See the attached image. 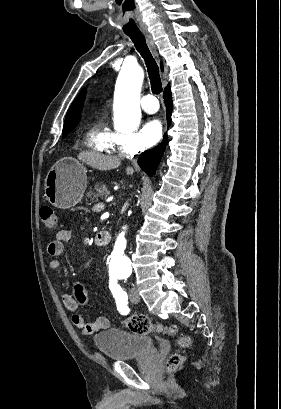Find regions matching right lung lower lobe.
<instances>
[{
  "label": "right lung lower lobe",
  "instance_id": "1",
  "mask_svg": "<svg viewBox=\"0 0 281 409\" xmlns=\"http://www.w3.org/2000/svg\"><path fill=\"white\" fill-rule=\"evenodd\" d=\"M163 98L166 104L167 122L168 126L171 123L170 113L172 112V94L170 87L165 89L163 93ZM168 142L167 134L164 135V140L161 144L153 149L143 152L139 157L140 167L147 173V175L152 176L157 168L160 159L164 153L166 144Z\"/></svg>",
  "mask_w": 281,
  "mask_h": 409
}]
</instances>
